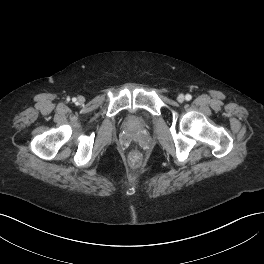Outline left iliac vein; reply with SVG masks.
<instances>
[{
	"label": "left iliac vein",
	"mask_w": 264,
	"mask_h": 264,
	"mask_svg": "<svg viewBox=\"0 0 264 264\" xmlns=\"http://www.w3.org/2000/svg\"><path fill=\"white\" fill-rule=\"evenodd\" d=\"M178 102L182 103L185 100V97L183 94H179L177 97Z\"/></svg>",
	"instance_id": "left-iliac-vein-1"
}]
</instances>
